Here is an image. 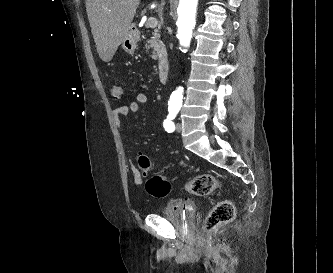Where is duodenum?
I'll return each mask as SVG.
<instances>
[{
    "label": "duodenum",
    "mask_w": 333,
    "mask_h": 273,
    "mask_svg": "<svg viewBox=\"0 0 333 273\" xmlns=\"http://www.w3.org/2000/svg\"><path fill=\"white\" fill-rule=\"evenodd\" d=\"M133 32H137L138 28L136 26L132 27ZM159 69V80L161 83H166L170 70V61L166 56H161L158 61Z\"/></svg>",
    "instance_id": "obj_1"
}]
</instances>
